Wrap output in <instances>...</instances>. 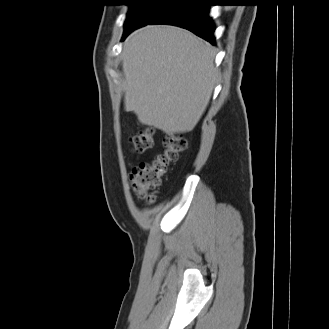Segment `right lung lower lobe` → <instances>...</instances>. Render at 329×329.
Returning <instances> with one entry per match:
<instances>
[{"mask_svg":"<svg viewBox=\"0 0 329 329\" xmlns=\"http://www.w3.org/2000/svg\"><path fill=\"white\" fill-rule=\"evenodd\" d=\"M202 1L207 0H178L165 7L148 24L179 26L214 44L215 27L209 17V5Z\"/></svg>","mask_w":329,"mask_h":329,"instance_id":"98d812e1","label":"right lung lower lobe"}]
</instances>
